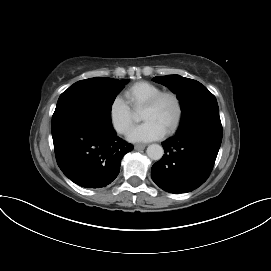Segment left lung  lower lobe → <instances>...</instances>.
I'll return each instance as SVG.
<instances>
[{
	"label": "left lung lower lobe",
	"mask_w": 271,
	"mask_h": 271,
	"mask_svg": "<svg viewBox=\"0 0 271 271\" xmlns=\"http://www.w3.org/2000/svg\"><path fill=\"white\" fill-rule=\"evenodd\" d=\"M222 134L219 116L196 118L181 125L174 137L162 143L165 154L152 166L153 181L170 193L198 188L212 171Z\"/></svg>",
	"instance_id": "left-lung-lower-lobe-1"
}]
</instances>
